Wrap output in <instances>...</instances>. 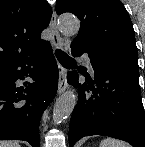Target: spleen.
I'll return each instance as SVG.
<instances>
[{
	"instance_id": "spleen-1",
	"label": "spleen",
	"mask_w": 145,
	"mask_h": 147,
	"mask_svg": "<svg viewBox=\"0 0 145 147\" xmlns=\"http://www.w3.org/2000/svg\"><path fill=\"white\" fill-rule=\"evenodd\" d=\"M100 147H127V146L122 141L112 138H107L102 140V142L100 143Z\"/></svg>"
}]
</instances>
